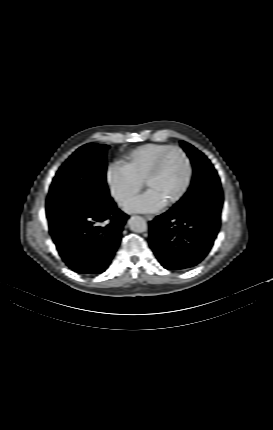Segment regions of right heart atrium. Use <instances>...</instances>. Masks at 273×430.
<instances>
[{
    "instance_id": "obj_1",
    "label": "right heart atrium",
    "mask_w": 273,
    "mask_h": 430,
    "mask_svg": "<svg viewBox=\"0 0 273 430\" xmlns=\"http://www.w3.org/2000/svg\"><path fill=\"white\" fill-rule=\"evenodd\" d=\"M105 180L111 196L122 207L127 205L143 186V183L120 162L109 164Z\"/></svg>"
}]
</instances>
